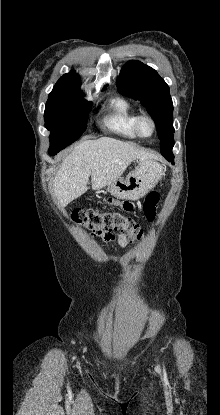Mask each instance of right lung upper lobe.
<instances>
[{"mask_svg":"<svg viewBox=\"0 0 220 415\" xmlns=\"http://www.w3.org/2000/svg\"><path fill=\"white\" fill-rule=\"evenodd\" d=\"M52 92L83 94L80 91V79L75 71L64 74L55 84Z\"/></svg>","mask_w":220,"mask_h":415,"instance_id":"right-lung-upper-lobe-1","label":"right lung upper lobe"}]
</instances>
